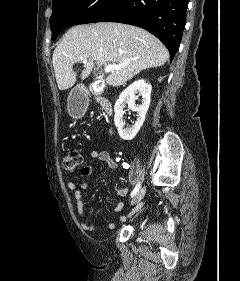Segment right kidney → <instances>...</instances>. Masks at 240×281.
<instances>
[{"label":"right kidney","mask_w":240,"mask_h":281,"mask_svg":"<svg viewBox=\"0 0 240 281\" xmlns=\"http://www.w3.org/2000/svg\"><path fill=\"white\" fill-rule=\"evenodd\" d=\"M151 90L152 86L143 79H140L129 85L119 95V98L114 106V123L118 128L119 136L123 140H132L137 135L141 126L143 125L145 121V116L147 114V110L150 105ZM138 92L142 96V103L139 106H135V100L137 99V96L135 94ZM126 104L132 111L137 112V120L134 125L130 128H124L125 124L123 121V115L125 113L124 108Z\"/></svg>","instance_id":"right-kidney-1"}]
</instances>
